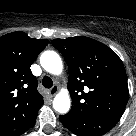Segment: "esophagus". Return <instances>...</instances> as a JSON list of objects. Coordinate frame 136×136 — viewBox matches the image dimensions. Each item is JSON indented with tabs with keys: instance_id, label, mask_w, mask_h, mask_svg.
<instances>
[{
	"instance_id": "34e87169",
	"label": "esophagus",
	"mask_w": 136,
	"mask_h": 136,
	"mask_svg": "<svg viewBox=\"0 0 136 136\" xmlns=\"http://www.w3.org/2000/svg\"><path fill=\"white\" fill-rule=\"evenodd\" d=\"M59 91V87L57 85H54L50 90H49V95L51 97L55 96L57 92Z\"/></svg>"
}]
</instances>
